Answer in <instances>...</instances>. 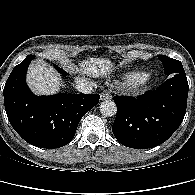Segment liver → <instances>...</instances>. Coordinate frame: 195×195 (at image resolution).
Masks as SVG:
<instances>
[{"instance_id":"6515ba94","label":"liver","mask_w":195,"mask_h":195,"mask_svg":"<svg viewBox=\"0 0 195 195\" xmlns=\"http://www.w3.org/2000/svg\"><path fill=\"white\" fill-rule=\"evenodd\" d=\"M78 72L87 76H107L113 67V63L107 58H90L78 64ZM84 79H77V83ZM27 82L30 88L39 95L54 94L59 91L61 82L56 71L44 61L33 63L27 74Z\"/></svg>"}]
</instances>
